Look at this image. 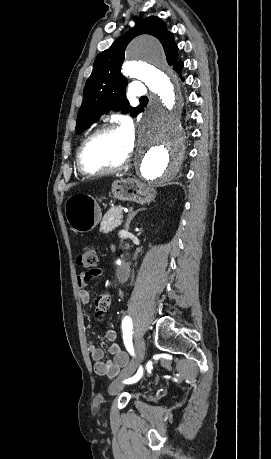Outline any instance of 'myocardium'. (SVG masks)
I'll use <instances>...</instances> for the list:
<instances>
[{
    "label": "myocardium",
    "mask_w": 271,
    "mask_h": 459,
    "mask_svg": "<svg viewBox=\"0 0 271 459\" xmlns=\"http://www.w3.org/2000/svg\"><path fill=\"white\" fill-rule=\"evenodd\" d=\"M120 130V126L116 122H110L104 124L97 129L89 133L80 143L79 148L76 153V162L79 169L86 175H96L101 173L113 172L123 168L130 160L132 156V150L127 154L123 159L109 164H102L99 166H90L86 163L84 158V151L87 144L96 136L107 133V132H116Z\"/></svg>",
    "instance_id": "myocardium-1"
}]
</instances>
